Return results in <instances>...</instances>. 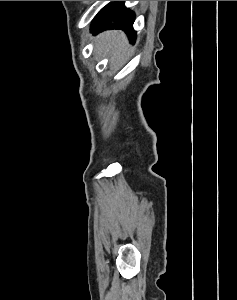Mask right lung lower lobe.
<instances>
[{
  "label": "right lung lower lobe",
  "mask_w": 237,
  "mask_h": 300,
  "mask_svg": "<svg viewBox=\"0 0 237 300\" xmlns=\"http://www.w3.org/2000/svg\"><path fill=\"white\" fill-rule=\"evenodd\" d=\"M134 13L124 6V2L115 3L107 13L91 26L95 35L107 29H122L128 35L131 42L135 40L136 32L133 30Z\"/></svg>",
  "instance_id": "98d812e1"
}]
</instances>
